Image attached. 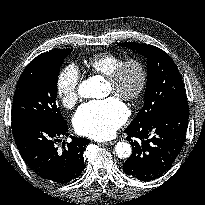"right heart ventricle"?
<instances>
[{
    "label": "right heart ventricle",
    "mask_w": 205,
    "mask_h": 205,
    "mask_svg": "<svg viewBox=\"0 0 205 205\" xmlns=\"http://www.w3.org/2000/svg\"><path fill=\"white\" fill-rule=\"evenodd\" d=\"M123 60L124 58L120 55L113 53H99L93 55L86 61V67L94 73L107 77Z\"/></svg>",
    "instance_id": "right-heart-ventricle-1"
}]
</instances>
